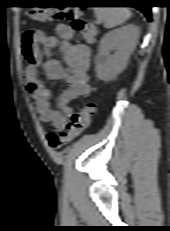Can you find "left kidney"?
Here are the masks:
<instances>
[{
  "label": "left kidney",
  "instance_id": "left-kidney-1",
  "mask_svg": "<svg viewBox=\"0 0 170 231\" xmlns=\"http://www.w3.org/2000/svg\"><path fill=\"white\" fill-rule=\"evenodd\" d=\"M138 38L139 28L132 24L114 29L104 35L95 58L97 77L109 81L121 73L137 45ZM111 51H114V54L111 55Z\"/></svg>",
  "mask_w": 170,
  "mask_h": 231
}]
</instances>
